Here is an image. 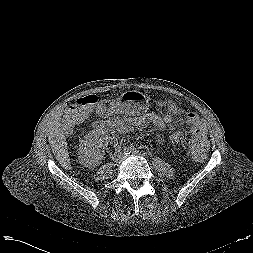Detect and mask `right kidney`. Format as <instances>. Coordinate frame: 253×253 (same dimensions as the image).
<instances>
[{
  "label": "right kidney",
  "instance_id": "ca27d5eb",
  "mask_svg": "<svg viewBox=\"0 0 253 253\" xmlns=\"http://www.w3.org/2000/svg\"><path fill=\"white\" fill-rule=\"evenodd\" d=\"M107 145L108 140L105 132L92 130L80 141L79 162L90 169L98 166L104 158V151Z\"/></svg>",
  "mask_w": 253,
  "mask_h": 253
}]
</instances>
